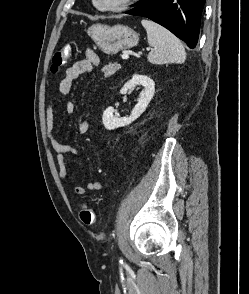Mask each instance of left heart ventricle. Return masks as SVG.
I'll list each match as a JSON object with an SVG mask.
<instances>
[{
  "label": "left heart ventricle",
  "mask_w": 249,
  "mask_h": 294,
  "mask_svg": "<svg viewBox=\"0 0 249 294\" xmlns=\"http://www.w3.org/2000/svg\"><path fill=\"white\" fill-rule=\"evenodd\" d=\"M122 0H98V2L101 5H107V6H113V5H117L121 2Z\"/></svg>",
  "instance_id": "obj_1"
}]
</instances>
